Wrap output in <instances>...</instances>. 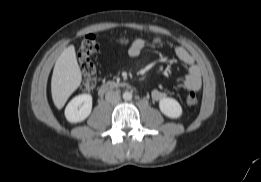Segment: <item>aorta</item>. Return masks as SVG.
<instances>
[{"label": "aorta", "instance_id": "762f6f07", "mask_svg": "<svg viewBox=\"0 0 261 182\" xmlns=\"http://www.w3.org/2000/svg\"><path fill=\"white\" fill-rule=\"evenodd\" d=\"M123 99L126 100V101L131 100V99H132V93L129 92V91H125V92L123 93Z\"/></svg>", "mask_w": 261, "mask_h": 182}]
</instances>
